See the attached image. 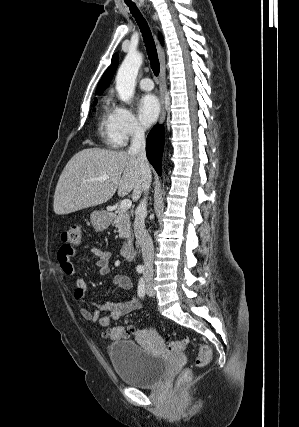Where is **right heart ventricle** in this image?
Here are the masks:
<instances>
[{
	"instance_id": "e07e8e85",
	"label": "right heart ventricle",
	"mask_w": 299,
	"mask_h": 427,
	"mask_svg": "<svg viewBox=\"0 0 299 427\" xmlns=\"http://www.w3.org/2000/svg\"><path fill=\"white\" fill-rule=\"evenodd\" d=\"M111 117L112 108L110 107L108 101H105L102 105L99 117V134L108 146L113 147L116 144L114 143L111 136Z\"/></svg>"
}]
</instances>
